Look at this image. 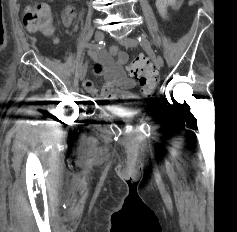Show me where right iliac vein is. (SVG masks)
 Listing matches in <instances>:
<instances>
[{
    "label": "right iliac vein",
    "instance_id": "63e3f726",
    "mask_svg": "<svg viewBox=\"0 0 237 232\" xmlns=\"http://www.w3.org/2000/svg\"><path fill=\"white\" fill-rule=\"evenodd\" d=\"M94 37H95V40H96L97 42H99V41H101V40L104 38V33H103L102 31H100V30H97V31L95 32ZM86 73H87V64H84V65L80 68V70H79V78H80V80H83V79L85 78Z\"/></svg>",
    "mask_w": 237,
    "mask_h": 232
}]
</instances>
